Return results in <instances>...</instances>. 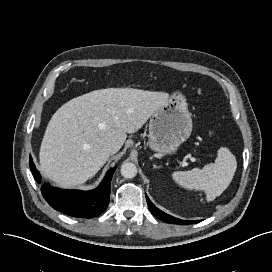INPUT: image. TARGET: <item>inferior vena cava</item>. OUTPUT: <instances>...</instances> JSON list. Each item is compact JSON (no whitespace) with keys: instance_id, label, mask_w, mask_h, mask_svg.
<instances>
[{"instance_id":"602c4592","label":"inferior vena cava","mask_w":272,"mask_h":272,"mask_svg":"<svg viewBox=\"0 0 272 272\" xmlns=\"http://www.w3.org/2000/svg\"><path fill=\"white\" fill-rule=\"evenodd\" d=\"M104 147L107 151H109L110 153H114V152H117L118 149H119V146L115 143V142H112V141H108L104 144Z\"/></svg>"}]
</instances>
